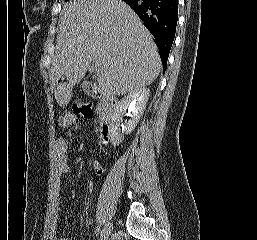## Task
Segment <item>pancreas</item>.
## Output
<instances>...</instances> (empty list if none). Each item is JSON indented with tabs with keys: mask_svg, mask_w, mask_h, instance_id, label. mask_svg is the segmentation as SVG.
Masks as SVG:
<instances>
[{
	"mask_svg": "<svg viewBox=\"0 0 257 240\" xmlns=\"http://www.w3.org/2000/svg\"><path fill=\"white\" fill-rule=\"evenodd\" d=\"M103 107H104V105H103L102 101H100V102L98 103V109H103Z\"/></svg>",
	"mask_w": 257,
	"mask_h": 240,
	"instance_id": "obj_1",
	"label": "pancreas"
}]
</instances>
